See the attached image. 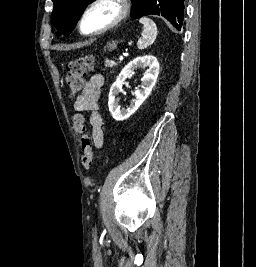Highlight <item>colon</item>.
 <instances>
[{
    "instance_id": "colon-1",
    "label": "colon",
    "mask_w": 256,
    "mask_h": 267,
    "mask_svg": "<svg viewBox=\"0 0 256 267\" xmlns=\"http://www.w3.org/2000/svg\"><path fill=\"white\" fill-rule=\"evenodd\" d=\"M94 65V60L90 56L74 59L66 62L65 69L67 72V82L70 88L71 97L79 94L85 86V78L87 73ZM73 129L80 135V146L82 150V163L86 170L93 165L94 152L92 149L90 138L87 134V122L83 114L77 112L73 116Z\"/></svg>"
}]
</instances>
